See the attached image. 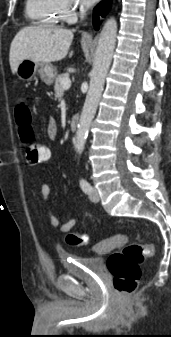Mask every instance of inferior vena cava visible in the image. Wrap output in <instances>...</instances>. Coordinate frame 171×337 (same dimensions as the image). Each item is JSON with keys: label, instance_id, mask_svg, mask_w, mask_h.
Returning a JSON list of instances; mask_svg holds the SVG:
<instances>
[{"label": "inferior vena cava", "instance_id": "obj_1", "mask_svg": "<svg viewBox=\"0 0 171 337\" xmlns=\"http://www.w3.org/2000/svg\"><path fill=\"white\" fill-rule=\"evenodd\" d=\"M88 7H89L88 4H84V5L81 6V8H80V14H81L80 17H81V18L84 17L86 11L88 10Z\"/></svg>", "mask_w": 171, "mask_h": 337}]
</instances>
